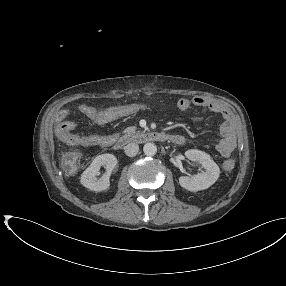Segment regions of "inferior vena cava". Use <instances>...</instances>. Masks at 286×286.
Here are the masks:
<instances>
[{
  "mask_svg": "<svg viewBox=\"0 0 286 286\" xmlns=\"http://www.w3.org/2000/svg\"><path fill=\"white\" fill-rule=\"evenodd\" d=\"M139 152V146L136 143H129L125 146V154L129 157L136 156Z\"/></svg>",
  "mask_w": 286,
  "mask_h": 286,
  "instance_id": "obj_1",
  "label": "inferior vena cava"
}]
</instances>
